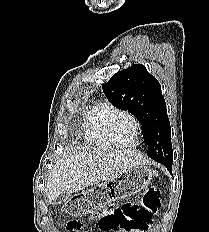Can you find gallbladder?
Masks as SVG:
<instances>
[{"label": "gallbladder", "mask_w": 209, "mask_h": 232, "mask_svg": "<svg viewBox=\"0 0 209 232\" xmlns=\"http://www.w3.org/2000/svg\"><path fill=\"white\" fill-rule=\"evenodd\" d=\"M69 195L67 194H61L60 196H58L53 202L52 205H56V204H62L63 202H65L68 199Z\"/></svg>", "instance_id": "1"}]
</instances>
